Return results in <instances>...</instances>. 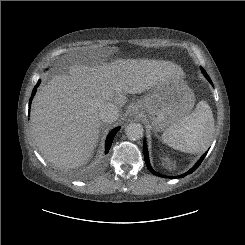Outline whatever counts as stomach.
<instances>
[{
  "instance_id": "obj_1",
  "label": "stomach",
  "mask_w": 245,
  "mask_h": 245,
  "mask_svg": "<svg viewBox=\"0 0 245 245\" xmlns=\"http://www.w3.org/2000/svg\"><path fill=\"white\" fill-rule=\"evenodd\" d=\"M195 103L193 91L179 76L159 81L142 101L154 130H164L180 123L191 113Z\"/></svg>"
}]
</instances>
